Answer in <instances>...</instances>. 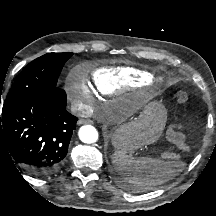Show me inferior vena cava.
Returning <instances> with one entry per match:
<instances>
[{
  "mask_svg": "<svg viewBox=\"0 0 216 216\" xmlns=\"http://www.w3.org/2000/svg\"><path fill=\"white\" fill-rule=\"evenodd\" d=\"M85 108L86 106L83 103H81L79 100L73 101L71 105V111L78 116H82L85 113H88L89 108L88 110H85Z\"/></svg>",
  "mask_w": 216,
  "mask_h": 216,
  "instance_id": "602c4592",
  "label": "inferior vena cava"
}]
</instances>
